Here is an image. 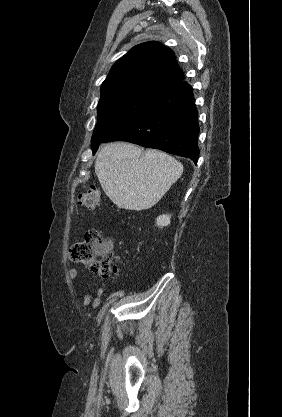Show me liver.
Segmentation results:
<instances>
[{"label": "liver", "instance_id": "liver-1", "mask_svg": "<svg viewBox=\"0 0 282 417\" xmlns=\"http://www.w3.org/2000/svg\"><path fill=\"white\" fill-rule=\"evenodd\" d=\"M95 172L107 196L119 209L143 211L156 204L180 178L183 164L174 156L130 142H110L95 160Z\"/></svg>", "mask_w": 282, "mask_h": 417}]
</instances>
